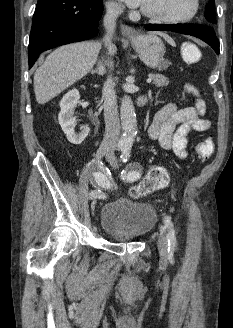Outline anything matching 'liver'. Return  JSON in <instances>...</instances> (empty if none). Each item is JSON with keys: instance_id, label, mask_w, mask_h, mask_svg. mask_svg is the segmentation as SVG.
Segmentation results:
<instances>
[{"instance_id": "1", "label": "liver", "mask_w": 233, "mask_h": 328, "mask_svg": "<svg viewBox=\"0 0 233 328\" xmlns=\"http://www.w3.org/2000/svg\"><path fill=\"white\" fill-rule=\"evenodd\" d=\"M101 43L86 41L57 48L34 74V92L44 104L84 77L94 66ZM116 52L113 46L112 53Z\"/></svg>"}]
</instances>
